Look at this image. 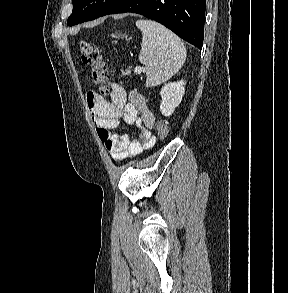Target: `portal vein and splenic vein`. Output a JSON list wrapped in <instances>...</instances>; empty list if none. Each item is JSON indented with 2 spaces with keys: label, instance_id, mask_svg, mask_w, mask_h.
Wrapping results in <instances>:
<instances>
[{
  "label": "portal vein and splenic vein",
  "instance_id": "1",
  "mask_svg": "<svg viewBox=\"0 0 288 293\" xmlns=\"http://www.w3.org/2000/svg\"><path fill=\"white\" fill-rule=\"evenodd\" d=\"M135 71H136L137 73H141V72L143 71V69H142L141 67H136Z\"/></svg>",
  "mask_w": 288,
  "mask_h": 293
}]
</instances>
